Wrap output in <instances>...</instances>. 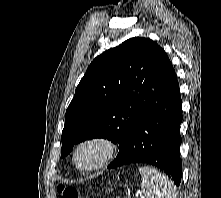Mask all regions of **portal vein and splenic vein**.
<instances>
[{
  "label": "portal vein and splenic vein",
  "instance_id": "portal-vein-and-splenic-vein-1",
  "mask_svg": "<svg viewBox=\"0 0 221 198\" xmlns=\"http://www.w3.org/2000/svg\"><path fill=\"white\" fill-rule=\"evenodd\" d=\"M136 197H138V195L136 196ZM141 198H144L143 196H140Z\"/></svg>",
  "mask_w": 221,
  "mask_h": 198
}]
</instances>
